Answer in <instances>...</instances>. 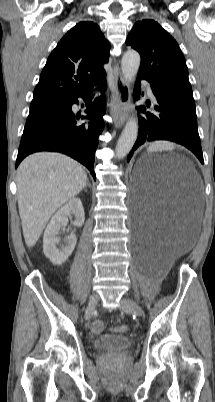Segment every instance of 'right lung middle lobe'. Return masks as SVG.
I'll return each mask as SVG.
<instances>
[{
    "instance_id": "1",
    "label": "right lung middle lobe",
    "mask_w": 215,
    "mask_h": 402,
    "mask_svg": "<svg viewBox=\"0 0 215 402\" xmlns=\"http://www.w3.org/2000/svg\"><path fill=\"white\" fill-rule=\"evenodd\" d=\"M65 103L66 100L62 99L31 102L24 131L60 113L64 109Z\"/></svg>"
}]
</instances>
